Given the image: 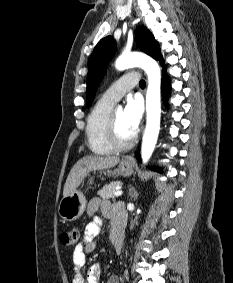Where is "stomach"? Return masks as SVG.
Returning <instances> with one entry per match:
<instances>
[{"mask_svg":"<svg viewBox=\"0 0 233 283\" xmlns=\"http://www.w3.org/2000/svg\"><path fill=\"white\" fill-rule=\"evenodd\" d=\"M109 175L130 176L133 173V165L126 161H121L116 169L108 170ZM90 183L93 179L90 178ZM86 208V199L80 190H75L70 195L63 197L59 206L58 213L63 220L74 221L78 219Z\"/></svg>","mask_w":233,"mask_h":283,"instance_id":"1","label":"stomach"}]
</instances>
